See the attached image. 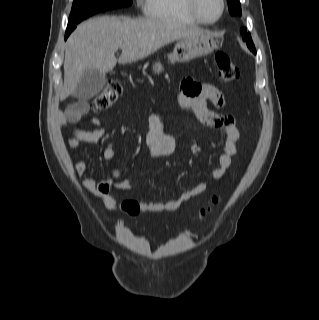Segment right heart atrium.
Listing matches in <instances>:
<instances>
[{"label": "right heart atrium", "mask_w": 319, "mask_h": 320, "mask_svg": "<svg viewBox=\"0 0 319 320\" xmlns=\"http://www.w3.org/2000/svg\"><path fill=\"white\" fill-rule=\"evenodd\" d=\"M136 1H137L138 6H142L146 0H136Z\"/></svg>", "instance_id": "right-heart-atrium-1"}]
</instances>
